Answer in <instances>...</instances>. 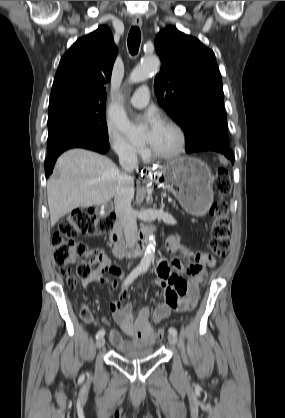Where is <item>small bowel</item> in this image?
<instances>
[{
	"mask_svg": "<svg viewBox=\"0 0 285 418\" xmlns=\"http://www.w3.org/2000/svg\"><path fill=\"white\" fill-rule=\"evenodd\" d=\"M165 246L170 253L178 254L181 258L194 262L188 267H184L177 258H160L158 260L156 279L150 287L160 291L164 295L165 301L159 304L152 313L148 308H142L135 316L132 313V305L123 304L127 297L123 271L117 265L112 264L109 259L106 258L104 263L93 269L89 278L84 279L85 286L92 282L101 284L110 282L112 286L119 288V298L111 304L110 309L115 321L131 340L124 341L115 329L110 330L109 339L113 346L121 352L134 347L143 348L150 345L153 342V322H160L168 318L172 312L187 310L185 303L197 301L199 290L206 281L207 273L204 266L207 257L205 255L183 247L179 239L174 236L166 239ZM184 273L188 275V279L183 277ZM107 274L113 279L108 280ZM66 283L69 288H74L76 285L75 278L70 273L66 275ZM80 316L87 323H91L93 320L91 310L87 305L82 306ZM104 322L108 324L106 319Z\"/></svg>",
	"mask_w": 285,
	"mask_h": 418,
	"instance_id": "c3829d8e",
	"label": "small bowel"
}]
</instances>
